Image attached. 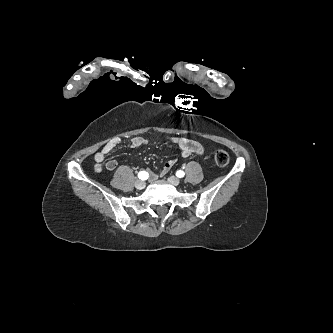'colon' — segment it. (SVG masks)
<instances>
[{
    "label": "colon",
    "mask_w": 333,
    "mask_h": 333,
    "mask_svg": "<svg viewBox=\"0 0 333 333\" xmlns=\"http://www.w3.org/2000/svg\"><path fill=\"white\" fill-rule=\"evenodd\" d=\"M214 160L218 166H226L229 163V155L224 150H217L214 154Z\"/></svg>",
    "instance_id": "colon-1"
}]
</instances>
